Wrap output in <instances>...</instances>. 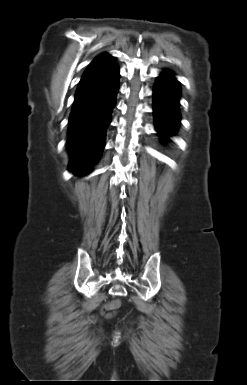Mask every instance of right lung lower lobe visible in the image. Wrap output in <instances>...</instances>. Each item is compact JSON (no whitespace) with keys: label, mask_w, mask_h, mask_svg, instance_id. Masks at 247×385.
<instances>
[{"label":"right lung lower lobe","mask_w":247,"mask_h":385,"mask_svg":"<svg viewBox=\"0 0 247 385\" xmlns=\"http://www.w3.org/2000/svg\"><path fill=\"white\" fill-rule=\"evenodd\" d=\"M118 89L119 67L115 61L82 76L68 127V169L74 174H87L100 158Z\"/></svg>","instance_id":"1"}]
</instances>
